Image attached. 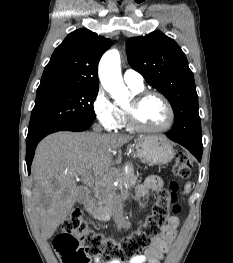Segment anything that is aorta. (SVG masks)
Returning <instances> with one entry per match:
<instances>
[{
    "label": "aorta",
    "instance_id": "aorta-1",
    "mask_svg": "<svg viewBox=\"0 0 233 263\" xmlns=\"http://www.w3.org/2000/svg\"><path fill=\"white\" fill-rule=\"evenodd\" d=\"M120 54L117 50L107 51L99 63V78L104 89L119 104L128 101V88L125 86L120 69Z\"/></svg>",
    "mask_w": 233,
    "mask_h": 263
}]
</instances>
